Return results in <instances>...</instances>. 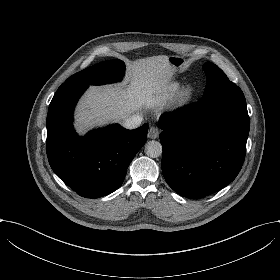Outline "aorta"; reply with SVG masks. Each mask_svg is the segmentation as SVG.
Segmentation results:
<instances>
[{
	"instance_id": "obj_1",
	"label": "aorta",
	"mask_w": 280,
	"mask_h": 280,
	"mask_svg": "<svg viewBox=\"0 0 280 280\" xmlns=\"http://www.w3.org/2000/svg\"><path fill=\"white\" fill-rule=\"evenodd\" d=\"M145 153L151 158L159 157L162 154V145L156 140H150L145 146Z\"/></svg>"
}]
</instances>
